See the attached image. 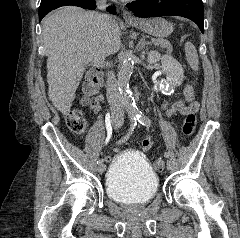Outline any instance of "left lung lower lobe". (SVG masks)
<instances>
[{"label": "left lung lower lobe", "instance_id": "0a47b994", "mask_svg": "<svg viewBox=\"0 0 240 238\" xmlns=\"http://www.w3.org/2000/svg\"><path fill=\"white\" fill-rule=\"evenodd\" d=\"M137 17L182 16L195 22L204 33L202 0H137L127 4Z\"/></svg>", "mask_w": 240, "mask_h": 238}]
</instances>
